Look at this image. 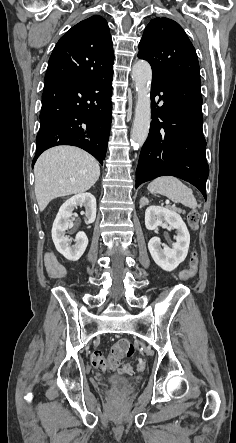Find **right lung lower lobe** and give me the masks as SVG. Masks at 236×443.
<instances>
[{
  "label": "right lung lower lobe",
  "instance_id": "obj_1",
  "mask_svg": "<svg viewBox=\"0 0 236 443\" xmlns=\"http://www.w3.org/2000/svg\"><path fill=\"white\" fill-rule=\"evenodd\" d=\"M113 70L93 78L45 82L32 167L45 150L73 145L101 164L111 125Z\"/></svg>",
  "mask_w": 236,
  "mask_h": 443
}]
</instances>
